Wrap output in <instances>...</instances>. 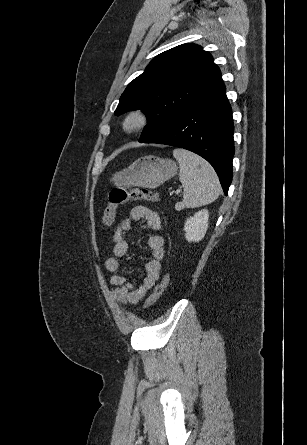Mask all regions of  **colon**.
I'll list each match as a JSON object with an SVG mask.
<instances>
[{
  "mask_svg": "<svg viewBox=\"0 0 307 445\" xmlns=\"http://www.w3.org/2000/svg\"><path fill=\"white\" fill-rule=\"evenodd\" d=\"M129 200H145L150 202L157 201V194L149 189H123L113 188L109 192V204L102 215V225L110 226L117 215L119 206ZM169 283V275L166 273L159 284L154 288L151 295L145 301V308L151 307L163 294Z\"/></svg>",
  "mask_w": 307,
  "mask_h": 445,
  "instance_id": "5ec220e1",
  "label": "colon"
}]
</instances>
